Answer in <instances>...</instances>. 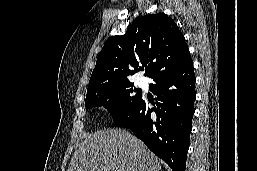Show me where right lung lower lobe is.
<instances>
[{
	"label": "right lung lower lobe",
	"mask_w": 257,
	"mask_h": 171,
	"mask_svg": "<svg viewBox=\"0 0 257 171\" xmlns=\"http://www.w3.org/2000/svg\"><path fill=\"white\" fill-rule=\"evenodd\" d=\"M152 79L155 84L150 88L157 95L154 108H148L141 96L112 126L131 129L173 171H185L196 97L193 61Z\"/></svg>",
	"instance_id": "obj_1"
}]
</instances>
